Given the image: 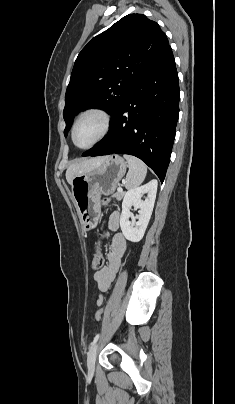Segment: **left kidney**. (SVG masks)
Masks as SVG:
<instances>
[{
  "instance_id": "obj_1",
  "label": "left kidney",
  "mask_w": 235,
  "mask_h": 404,
  "mask_svg": "<svg viewBox=\"0 0 235 404\" xmlns=\"http://www.w3.org/2000/svg\"><path fill=\"white\" fill-rule=\"evenodd\" d=\"M157 180H152L149 183L128 190L125 193L122 202V213L120 217V227L124 237L131 242H139L146 231L150 217L152 215L156 193H157ZM144 194H147L145 200H141ZM139 209V215L132 218L130 212L131 207ZM138 220L137 222L135 220Z\"/></svg>"
}]
</instances>
